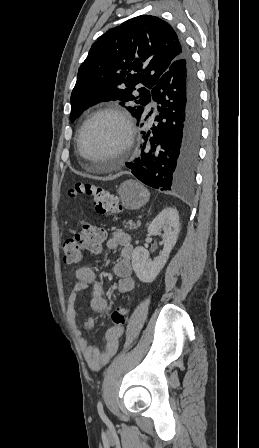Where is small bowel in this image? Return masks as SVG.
<instances>
[{
    "instance_id": "1",
    "label": "small bowel",
    "mask_w": 259,
    "mask_h": 448,
    "mask_svg": "<svg viewBox=\"0 0 259 448\" xmlns=\"http://www.w3.org/2000/svg\"><path fill=\"white\" fill-rule=\"evenodd\" d=\"M120 247V259L114 265L113 274L117 277L116 290L126 294L133 290L134 280L132 277V256L133 246L131 237L123 231H115L105 241L104 247L99 246L95 253L99 256L105 254V250H115ZM76 282L71 283V292L67 299L66 312L69 323L75 333L79 336V345L88 366L93 370H99L105 366L116 354L119 346V339L124 328L109 327L105 332V345L101 350L88 344L82 336L81 331L76 326V300L79 294L83 293L91 286L90 307L97 313L107 310L108 304L103 296V285L98 278L96 271L89 265L80 266L75 273ZM86 329L94 327V320L88 318L84 322Z\"/></svg>"
}]
</instances>
